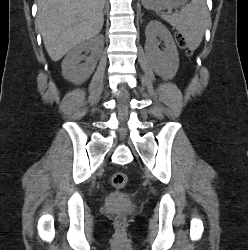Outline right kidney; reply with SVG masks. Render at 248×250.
<instances>
[{
	"instance_id": "1",
	"label": "right kidney",
	"mask_w": 248,
	"mask_h": 250,
	"mask_svg": "<svg viewBox=\"0 0 248 250\" xmlns=\"http://www.w3.org/2000/svg\"><path fill=\"white\" fill-rule=\"evenodd\" d=\"M104 47V36L97 35L75 46L62 61V76L64 79L79 84L86 81L93 73ZM91 50V55L85 58L82 52ZM85 59V63L81 61Z\"/></svg>"
}]
</instances>
